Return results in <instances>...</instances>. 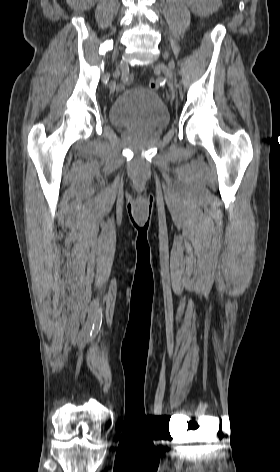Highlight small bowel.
I'll return each mask as SVG.
<instances>
[{
	"label": "small bowel",
	"mask_w": 280,
	"mask_h": 472,
	"mask_svg": "<svg viewBox=\"0 0 280 472\" xmlns=\"http://www.w3.org/2000/svg\"><path fill=\"white\" fill-rule=\"evenodd\" d=\"M131 81H132V77L128 78V79L126 80V83L128 84V83H130Z\"/></svg>",
	"instance_id": "c3829d8e"
}]
</instances>
